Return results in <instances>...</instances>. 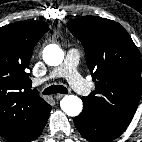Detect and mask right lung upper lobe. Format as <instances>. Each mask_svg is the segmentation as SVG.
Here are the masks:
<instances>
[{"mask_svg": "<svg viewBox=\"0 0 142 142\" xmlns=\"http://www.w3.org/2000/svg\"><path fill=\"white\" fill-rule=\"evenodd\" d=\"M49 30L42 21L16 22L0 28V135L9 142H29L51 106L29 79L33 48Z\"/></svg>", "mask_w": 142, "mask_h": 142, "instance_id": "obj_1", "label": "right lung upper lobe"}]
</instances>
